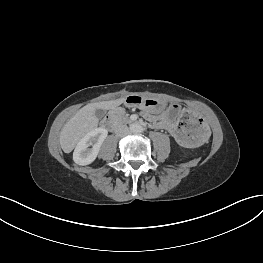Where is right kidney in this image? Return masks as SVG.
I'll list each match as a JSON object with an SVG mask.
<instances>
[{"label":"right kidney","mask_w":263,"mask_h":263,"mask_svg":"<svg viewBox=\"0 0 263 263\" xmlns=\"http://www.w3.org/2000/svg\"><path fill=\"white\" fill-rule=\"evenodd\" d=\"M107 135L108 131L105 128H96L87 133L75 147L74 162L82 166L91 164L96 159Z\"/></svg>","instance_id":"1"}]
</instances>
